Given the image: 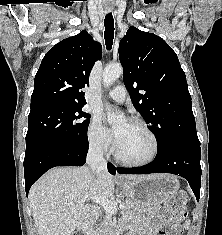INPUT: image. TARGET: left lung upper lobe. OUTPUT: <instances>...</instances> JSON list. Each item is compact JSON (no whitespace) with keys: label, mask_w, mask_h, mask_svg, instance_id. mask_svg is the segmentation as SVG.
Returning <instances> with one entry per match:
<instances>
[{"label":"left lung upper lobe","mask_w":222,"mask_h":235,"mask_svg":"<svg viewBox=\"0 0 222 235\" xmlns=\"http://www.w3.org/2000/svg\"><path fill=\"white\" fill-rule=\"evenodd\" d=\"M124 84L155 134L157 150L175 142L200 144L186 76L159 36L131 26L119 44Z\"/></svg>","instance_id":"left-lung-upper-lobe-1"}]
</instances>
